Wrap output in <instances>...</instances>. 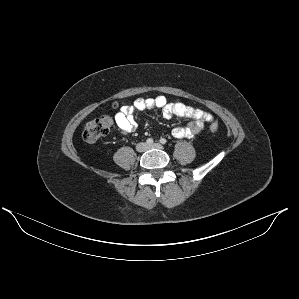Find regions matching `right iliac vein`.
<instances>
[{
	"instance_id": "63e3f726",
	"label": "right iliac vein",
	"mask_w": 299,
	"mask_h": 299,
	"mask_svg": "<svg viewBox=\"0 0 299 299\" xmlns=\"http://www.w3.org/2000/svg\"><path fill=\"white\" fill-rule=\"evenodd\" d=\"M136 150H137L138 152H145V151L147 150V145H146V143L141 142V143L137 144V146H136Z\"/></svg>"
}]
</instances>
